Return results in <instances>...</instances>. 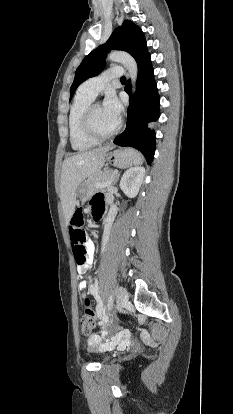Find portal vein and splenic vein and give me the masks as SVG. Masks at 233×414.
I'll use <instances>...</instances> for the list:
<instances>
[{
  "label": "portal vein and splenic vein",
  "instance_id": "obj_1",
  "mask_svg": "<svg viewBox=\"0 0 233 414\" xmlns=\"http://www.w3.org/2000/svg\"><path fill=\"white\" fill-rule=\"evenodd\" d=\"M113 179H114L113 177L111 179H109L106 183H104L103 186H109V185H111L112 182H113ZM98 186H100V185H98Z\"/></svg>",
  "mask_w": 233,
  "mask_h": 414
}]
</instances>
